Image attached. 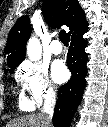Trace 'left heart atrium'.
I'll return each mask as SVG.
<instances>
[{"instance_id":"obj_1","label":"left heart atrium","mask_w":108,"mask_h":127,"mask_svg":"<svg viewBox=\"0 0 108 127\" xmlns=\"http://www.w3.org/2000/svg\"><path fill=\"white\" fill-rule=\"evenodd\" d=\"M52 76L57 83H63L68 79L69 72L62 61H56L52 66Z\"/></svg>"}]
</instances>
